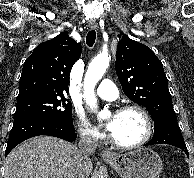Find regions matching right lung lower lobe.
<instances>
[{
	"instance_id": "98d812e1",
	"label": "right lung lower lobe",
	"mask_w": 194,
	"mask_h": 178,
	"mask_svg": "<svg viewBox=\"0 0 194 178\" xmlns=\"http://www.w3.org/2000/svg\"><path fill=\"white\" fill-rule=\"evenodd\" d=\"M38 135H49L67 141L77 137L73 122H56L44 117H24L14 119V124L8 139L5 156L19 143Z\"/></svg>"
}]
</instances>
